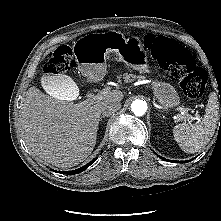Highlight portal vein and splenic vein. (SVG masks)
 Masks as SVG:
<instances>
[{
	"label": "portal vein and splenic vein",
	"mask_w": 221,
	"mask_h": 221,
	"mask_svg": "<svg viewBox=\"0 0 221 221\" xmlns=\"http://www.w3.org/2000/svg\"><path fill=\"white\" fill-rule=\"evenodd\" d=\"M53 92L55 95H59L58 92H56V91H53ZM107 93H108V89L102 90L97 95H94L93 93H89L87 95V97H88L87 101L91 104L96 103L97 101L101 100L102 97ZM178 110L181 112V115H185L186 113H188V109H185V108H179ZM194 119H196L198 121L200 120V116H199L198 112L195 113V118H192V120H194Z\"/></svg>",
	"instance_id": "1"
}]
</instances>
